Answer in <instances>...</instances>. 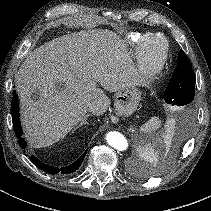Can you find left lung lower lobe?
I'll return each mask as SVG.
<instances>
[{
    "mask_svg": "<svg viewBox=\"0 0 211 211\" xmlns=\"http://www.w3.org/2000/svg\"><path fill=\"white\" fill-rule=\"evenodd\" d=\"M191 123V117L189 111H183L179 118V128L178 132L181 133L182 131L186 130Z\"/></svg>",
    "mask_w": 211,
    "mask_h": 211,
    "instance_id": "obj_1",
    "label": "left lung lower lobe"
}]
</instances>
